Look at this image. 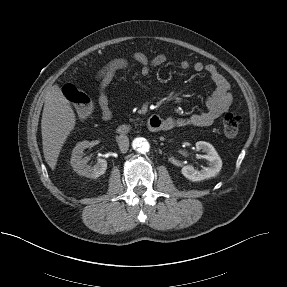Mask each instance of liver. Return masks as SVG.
<instances>
[{
    "instance_id": "liver-1",
    "label": "liver",
    "mask_w": 287,
    "mask_h": 287,
    "mask_svg": "<svg viewBox=\"0 0 287 287\" xmlns=\"http://www.w3.org/2000/svg\"><path fill=\"white\" fill-rule=\"evenodd\" d=\"M76 124L70 101L58 85H53L45 94L41 120L44 158L54 170L64 142Z\"/></svg>"
}]
</instances>
